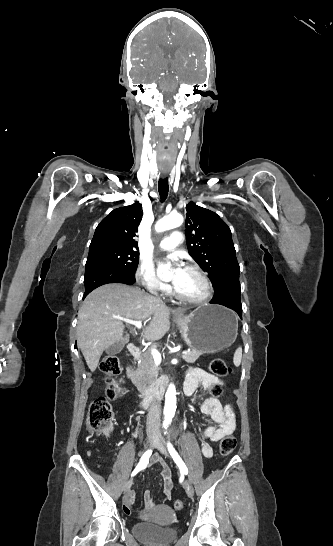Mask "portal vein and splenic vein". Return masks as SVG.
I'll use <instances>...</instances> for the list:
<instances>
[{
    "mask_svg": "<svg viewBox=\"0 0 333 546\" xmlns=\"http://www.w3.org/2000/svg\"><path fill=\"white\" fill-rule=\"evenodd\" d=\"M119 319L123 320V321L126 322V323L133 324V325H135V326H136L137 328H139V329L142 327V321H140V320H139V321H135V320L123 319V318H119ZM189 352H190V351H183L182 354L184 355V354H187V353H189ZM151 355H152V357H153L155 363H157V364H160V363H161V360H162L161 354H160V352H159L156 348H152V349H151Z\"/></svg>",
    "mask_w": 333,
    "mask_h": 546,
    "instance_id": "portal-vein-and-splenic-vein-1",
    "label": "portal vein and splenic vein"
}]
</instances>
